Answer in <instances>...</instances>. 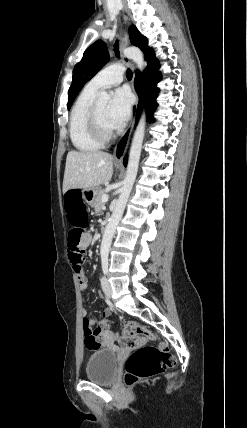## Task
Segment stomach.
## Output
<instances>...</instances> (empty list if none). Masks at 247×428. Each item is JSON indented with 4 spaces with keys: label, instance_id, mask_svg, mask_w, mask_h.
Masks as SVG:
<instances>
[{
    "label": "stomach",
    "instance_id": "0dacf381",
    "mask_svg": "<svg viewBox=\"0 0 247 428\" xmlns=\"http://www.w3.org/2000/svg\"><path fill=\"white\" fill-rule=\"evenodd\" d=\"M98 189L96 187L84 189L82 191V198L89 205H93Z\"/></svg>",
    "mask_w": 247,
    "mask_h": 428
}]
</instances>
